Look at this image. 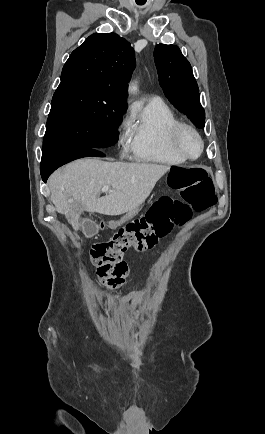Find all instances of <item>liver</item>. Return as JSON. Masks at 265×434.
Wrapping results in <instances>:
<instances>
[{
    "instance_id": "liver-1",
    "label": "liver",
    "mask_w": 265,
    "mask_h": 434,
    "mask_svg": "<svg viewBox=\"0 0 265 434\" xmlns=\"http://www.w3.org/2000/svg\"><path fill=\"white\" fill-rule=\"evenodd\" d=\"M169 170L170 166L158 164H125L83 158L50 176V200L56 212L64 214L77 232L83 212L120 216L135 210L145 202L156 182ZM103 186H111L112 190L108 196L97 198Z\"/></svg>"
}]
</instances>
